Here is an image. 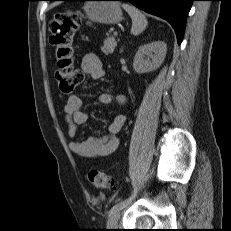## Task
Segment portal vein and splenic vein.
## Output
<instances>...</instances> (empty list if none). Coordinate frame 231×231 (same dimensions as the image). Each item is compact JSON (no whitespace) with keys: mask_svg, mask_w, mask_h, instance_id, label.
<instances>
[{"mask_svg":"<svg viewBox=\"0 0 231 231\" xmlns=\"http://www.w3.org/2000/svg\"><path fill=\"white\" fill-rule=\"evenodd\" d=\"M114 35L117 36V32H114Z\"/></svg>","mask_w":231,"mask_h":231,"instance_id":"portal-vein-and-splenic-vein-1","label":"portal vein and splenic vein"}]
</instances>
